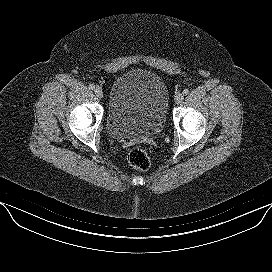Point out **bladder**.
<instances>
[{
    "instance_id": "bladder-1",
    "label": "bladder",
    "mask_w": 272,
    "mask_h": 272,
    "mask_svg": "<svg viewBox=\"0 0 272 272\" xmlns=\"http://www.w3.org/2000/svg\"><path fill=\"white\" fill-rule=\"evenodd\" d=\"M168 105L162 77L147 69L127 70L110 87L106 129L117 140L156 135L166 123Z\"/></svg>"
}]
</instances>
